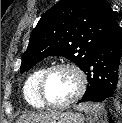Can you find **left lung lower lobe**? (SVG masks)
<instances>
[{
    "label": "left lung lower lobe",
    "mask_w": 122,
    "mask_h": 123,
    "mask_svg": "<svg viewBox=\"0 0 122 123\" xmlns=\"http://www.w3.org/2000/svg\"><path fill=\"white\" fill-rule=\"evenodd\" d=\"M121 55V28L115 21L94 48L84 69L89 83L78 103L117 99L120 88Z\"/></svg>",
    "instance_id": "0a47b994"
}]
</instances>
